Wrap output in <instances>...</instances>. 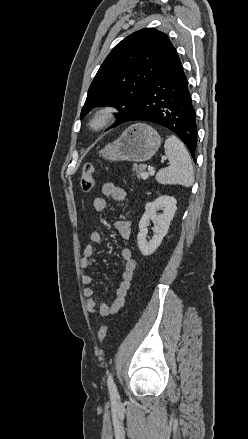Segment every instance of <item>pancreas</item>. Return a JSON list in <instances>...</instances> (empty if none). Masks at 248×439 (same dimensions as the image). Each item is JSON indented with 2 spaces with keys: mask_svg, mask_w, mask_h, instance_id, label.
<instances>
[{
  "mask_svg": "<svg viewBox=\"0 0 248 439\" xmlns=\"http://www.w3.org/2000/svg\"><path fill=\"white\" fill-rule=\"evenodd\" d=\"M144 170H145V167L143 165H138V166L136 165L133 167V171L136 172L137 177L142 178L143 174L145 173Z\"/></svg>",
  "mask_w": 248,
  "mask_h": 439,
  "instance_id": "pancreas-1",
  "label": "pancreas"
}]
</instances>
